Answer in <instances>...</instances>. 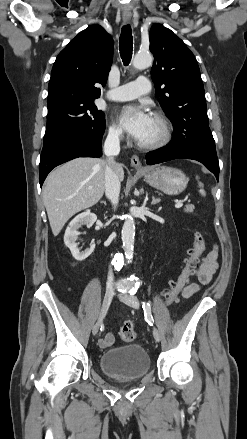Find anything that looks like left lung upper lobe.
Returning a JSON list of instances; mask_svg holds the SVG:
<instances>
[{"mask_svg": "<svg viewBox=\"0 0 247 439\" xmlns=\"http://www.w3.org/2000/svg\"><path fill=\"white\" fill-rule=\"evenodd\" d=\"M149 40L154 55L151 77L156 97L174 128L172 141L219 164L196 58L180 38L161 24L151 27Z\"/></svg>", "mask_w": 247, "mask_h": 439, "instance_id": "1", "label": "left lung upper lobe"}]
</instances>
